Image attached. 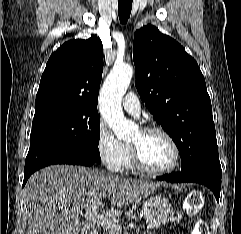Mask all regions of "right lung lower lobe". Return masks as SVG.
I'll list each match as a JSON object with an SVG mask.
<instances>
[{"instance_id": "1", "label": "right lung lower lobe", "mask_w": 241, "mask_h": 234, "mask_svg": "<svg viewBox=\"0 0 241 234\" xmlns=\"http://www.w3.org/2000/svg\"><path fill=\"white\" fill-rule=\"evenodd\" d=\"M96 161L71 145L50 142L30 147L25 160L23 186L35 171L53 164H73L91 166Z\"/></svg>"}]
</instances>
